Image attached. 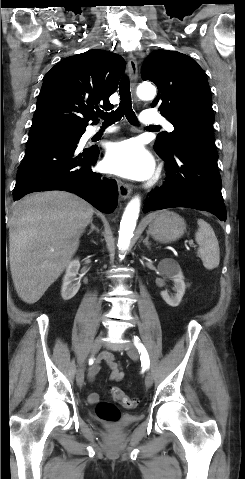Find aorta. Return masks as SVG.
<instances>
[{"instance_id":"obj_1","label":"aorta","mask_w":245,"mask_h":479,"mask_svg":"<svg viewBox=\"0 0 245 479\" xmlns=\"http://www.w3.org/2000/svg\"><path fill=\"white\" fill-rule=\"evenodd\" d=\"M137 94L141 99L151 100L156 95V89L152 85L142 84L138 86ZM140 212V199L133 198L127 205L122 220L120 222L118 248L126 250L129 247L130 240L136 227V222ZM123 258V256H120Z\"/></svg>"}]
</instances>
